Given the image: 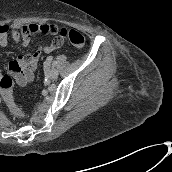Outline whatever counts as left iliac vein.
Returning a JSON list of instances; mask_svg holds the SVG:
<instances>
[{
    "label": "left iliac vein",
    "mask_w": 172,
    "mask_h": 172,
    "mask_svg": "<svg viewBox=\"0 0 172 172\" xmlns=\"http://www.w3.org/2000/svg\"><path fill=\"white\" fill-rule=\"evenodd\" d=\"M45 68L47 69L48 78H50L51 80L57 79L58 71L55 68L49 69V63L48 62L45 63Z\"/></svg>",
    "instance_id": "left-iliac-vein-1"
}]
</instances>
